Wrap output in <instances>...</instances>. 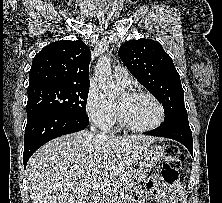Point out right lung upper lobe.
<instances>
[{
    "mask_svg": "<svg viewBox=\"0 0 222 203\" xmlns=\"http://www.w3.org/2000/svg\"><path fill=\"white\" fill-rule=\"evenodd\" d=\"M90 49L82 40L45 46L33 59L28 90L57 85H90Z\"/></svg>",
    "mask_w": 222,
    "mask_h": 203,
    "instance_id": "right-lung-upper-lobe-1",
    "label": "right lung upper lobe"
}]
</instances>
